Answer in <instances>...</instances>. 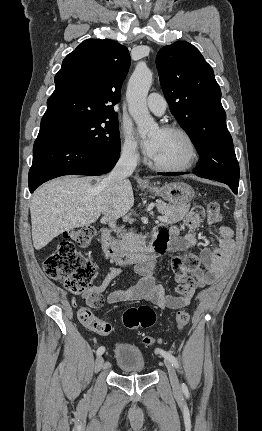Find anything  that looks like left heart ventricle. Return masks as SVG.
I'll use <instances>...</instances> for the list:
<instances>
[{"label":"left heart ventricle","instance_id":"b2bd125f","mask_svg":"<svg viewBox=\"0 0 262 431\" xmlns=\"http://www.w3.org/2000/svg\"><path fill=\"white\" fill-rule=\"evenodd\" d=\"M151 136L159 135V141L155 154L151 159L165 165H176L182 163L188 154L186 141L178 134L155 129Z\"/></svg>","mask_w":262,"mask_h":431}]
</instances>
